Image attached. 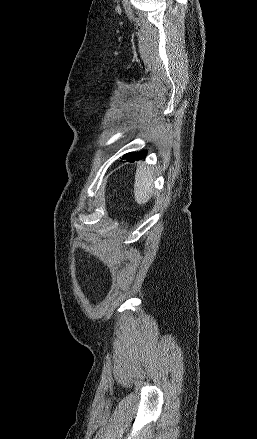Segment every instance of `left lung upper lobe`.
Wrapping results in <instances>:
<instances>
[{
    "instance_id": "left-lung-upper-lobe-1",
    "label": "left lung upper lobe",
    "mask_w": 257,
    "mask_h": 439,
    "mask_svg": "<svg viewBox=\"0 0 257 439\" xmlns=\"http://www.w3.org/2000/svg\"><path fill=\"white\" fill-rule=\"evenodd\" d=\"M128 154H130V153H127V154H125L124 156H126V155H128Z\"/></svg>"
}]
</instances>
